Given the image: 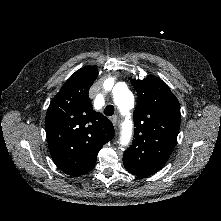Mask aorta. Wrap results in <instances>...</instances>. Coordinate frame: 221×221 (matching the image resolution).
<instances>
[{
	"label": "aorta",
	"mask_w": 221,
	"mask_h": 221,
	"mask_svg": "<svg viewBox=\"0 0 221 221\" xmlns=\"http://www.w3.org/2000/svg\"><path fill=\"white\" fill-rule=\"evenodd\" d=\"M115 100L118 102L121 101L122 102L121 107L124 109H128L133 105L134 96L127 87H124L122 90L117 91L115 93Z\"/></svg>",
	"instance_id": "1"
}]
</instances>
